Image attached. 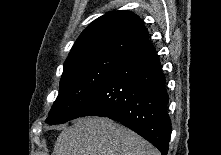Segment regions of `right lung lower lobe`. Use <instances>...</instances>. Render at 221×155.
<instances>
[{"mask_svg": "<svg viewBox=\"0 0 221 155\" xmlns=\"http://www.w3.org/2000/svg\"><path fill=\"white\" fill-rule=\"evenodd\" d=\"M168 100L160 61L146 40L112 69L80 117L119 121L167 155L171 135Z\"/></svg>", "mask_w": 221, "mask_h": 155, "instance_id": "1", "label": "right lung lower lobe"}]
</instances>
